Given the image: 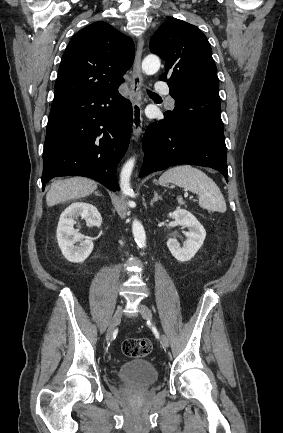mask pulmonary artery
<instances>
[{
    "label": "pulmonary artery",
    "instance_id": "e3ab8cb5",
    "mask_svg": "<svg viewBox=\"0 0 283 433\" xmlns=\"http://www.w3.org/2000/svg\"><path fill=\"white\" fill-rule=\"evenodd\" d=\"M154 92H159L160 96H169L170 88L167 83H154L153 85ZM175 99L173 97H169V104L174 105Z\"/></svg>",
    "mask_w": 283,
    "mask_h": 433
}]
</instances>
